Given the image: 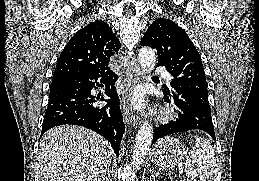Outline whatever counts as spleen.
<instances>
[{"mask_svg": "<svg viewBox=\"0 0 259 181\" xmlns=\"http://www.w3.org/2000/svg\"><path fill=\"white\" fill-rule=\"evenodd\" d=\"M195 139V146L189 152L191 159L185 164V173L190 181H216L217 169L213 146L205 138L195 136Z\"/></svg>", "mask_w": 259, "mask_h": 181, "instance_id": "obj_1", "label": "spleen"}]
</instances>
